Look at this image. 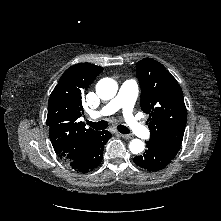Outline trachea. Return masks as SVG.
I'll return each instance as SVG.
<instances>
[{"label":"trachea","mask_w":221,"mask_h":221,"mask_svg":"<svg viewBox=\"0 0 221 221\" xmlns=\"http://www.w3.org/2000/svg\"><path fill=\"white\" fill-rule=\"evenodd\" d=\"M87 125H89L90 127L96 130H103L108 127V122L104 120L99 121V122L87 121ZM117 129L119 132L123 134H128L130 132V130L123 125H118Z\"/></svg>","instance_id":"trachea-1"}]
</instances>
